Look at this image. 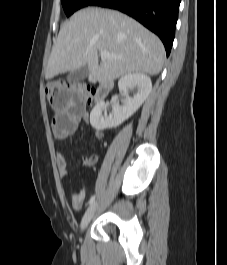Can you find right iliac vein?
I'll use <instances>...</instances> for the list:
<instances>
[{"label": "right iliac vein", "instance_id": "63e3f726", "mask_svg": "<svg viewBox=\"0 0 227 265\" xmlns=\"http://www.w3.org/2000/svg\"><path fill=\"white\" fill-rule=\"evenodd\" d=\"M97 208V203H93L85 212L82 220H81V224H80V229L81 231H83L87 225L89 224V222L91 221V219L93 218L95 211Z\"/></svg>", "mask_w": 227, "mask_h": 265}]
</instances>
